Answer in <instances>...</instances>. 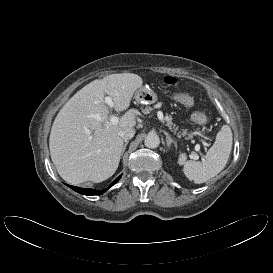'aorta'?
<instances>
[{
  "label": "aorta",
  "instance_id": "aorta-1",
  "mask_svg": "<svg viewBox=\"0 0 273 273\" xmlns=\"http://www.w3.org/2000/svg\"><path fill=\"white\" fill-rule=\"evenodd\" d=\"M144 144L146 147L154 149L157 148L160 144V138L155 133H149L144 140Z\"/></svg>",
  "mask_w": 273,
  "mask_h": 273
}]
</instances>
